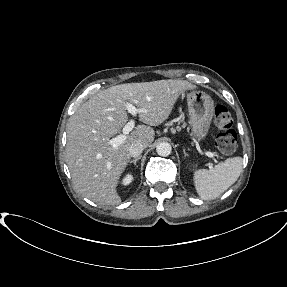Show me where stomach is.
<instances>
[{
	"instance_id": "obj_1",
	"label": "stomach",
	"mask_w": 287,
	"mask_h": 287,
	"mask_svg": "<svg viewBox=\"0 0 287 287\" xmlns=\"http://www.w3.org/2000/svg\"><path fill=\"white\" fill-rule=\"evenodd\" d=\"M187 105L192 134L197 140H203L209 131L214 115V101L199 90H192L187 94Z\"/></svg>"
}]
</instances>
